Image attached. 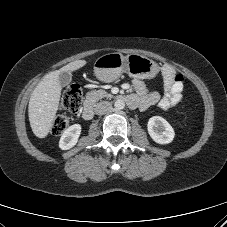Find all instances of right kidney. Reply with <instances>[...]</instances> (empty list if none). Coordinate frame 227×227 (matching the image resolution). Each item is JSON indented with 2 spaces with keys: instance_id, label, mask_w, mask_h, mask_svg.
Masks as SVG:
<instances>
[{
  "instance_id": "obj_1",
  "label": "right kidney",
  "mask_w": 227,
  "mask_h": 227,
  "mask_svg": "<svg viewBox=\"0 0 227 227\" xmlns=\"http://www.w3.org/2000/svg\"><path fill=\"white\" fill-rule=\"evenodd\" d=\"M81 133V125L74 124L68 127L61 135L59 147L62 150H68L76 145Z\"/></svg>"
}]
</instances>
